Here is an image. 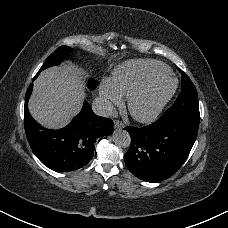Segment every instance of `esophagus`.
<instances>
[{
	"label": "esophagus",
	"instance_id": "obj_1",
	"mask_svg": "<svg viewBox=\"0 0 228 228\" xmlns=\"http://www.w3.org/2000/svg\"><path fill=\"white\" fill-rule=\"evenodd\" d=\"M125 126H124V124L122 123V122H120V121H115L114 122V128L115 129H122V128H124Z\"/></svg>",
	"mask_w": 228,
	"mask_h": 228
}]
</instances>
